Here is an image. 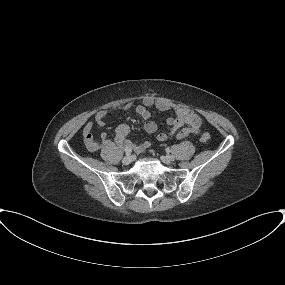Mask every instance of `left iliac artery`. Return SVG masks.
I'll return each instance as SVG.
<instances>
[{
  "label": "left iliac artery",
  "instance_id": "left-iliac-artery-1",
  "mask_svg": "<svg viewBox=\"0 0 285 285\" xmlns=\"http://www.w3.org/2000/svg\"><path fill=\"white\" fill-rule=\"evenodd\" d=\"M171 150L169 148L166 149V152L169 153Z\"/></svg>",
  "mask_w": 285,
  "mask_h": 285
}]
</instances>
